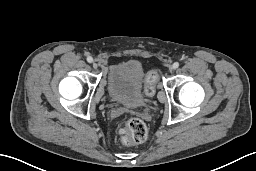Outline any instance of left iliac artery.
<instances>
[{
	"mask_svg": "<svg viewBox=\"0 0 256 171\" xmlns=\"http://www.w3.org/2000/svg\"><path fill=\"white\" fill-rule=\"evenodd\" d=\"M178 67H179V63H178V62H175V63L173 64V68L176 69V68H178Z\"/></svg>",
	"mask_w": 256,
	"mask_h": 171,
	"instance_id": "left-iliac-artery-1",
	"label": "left iliac artery"
}]
</instances>
